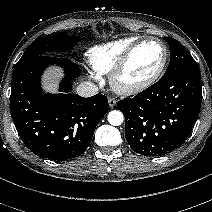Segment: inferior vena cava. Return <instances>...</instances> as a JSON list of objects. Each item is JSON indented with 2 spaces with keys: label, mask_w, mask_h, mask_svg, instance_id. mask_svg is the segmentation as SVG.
<instances>
[{
  "label": "inferior vena cava",
  "mask_w": 212,
  "mask_h": 212,
  "mask_svg": "<svg viewBox=\"0 0 212 212\" xmlns=\"http://www.w3.org/2000/svg\"><path fill=\"white\" fill-rule=\"evenodd\" d=\"M76 92L82 97H91L98 93V87L90 81H84L77 86Z\"/></svg>",
  "instance_id": "inferior-vena-cava-1"
}]
</instances>
